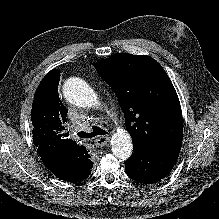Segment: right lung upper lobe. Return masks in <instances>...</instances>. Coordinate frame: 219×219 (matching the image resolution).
Wrapping results in <instances>:
<instances>
[{
  "mask_svg": "<svg viewBox=\"0 0 219 219\" xmlns=\"http://www.w3.org/2000/svg\"><path fill=\"white\" fill-rule=\"evenodd\" d=\"M60 72L51 70L39 84L31 112L33 142L45 166L59 179L79 182L93 166L84 146L64 132L67 109L59 99ZM74 157V158H73Z\"/></svg>",
  "mask_w": 219,
  "mask_h": 219,
  "instance_id": "obj_1",
  "label": "right lung upper lobe"
}]
</instances>
